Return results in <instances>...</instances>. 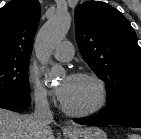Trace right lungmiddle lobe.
<instances>
[{
    "mask_svg": "<svg viewBox=\"0 0 141 139\" xmlns=\"http://www.w3.org/2000/svg\"><path fill=\"white\" fill-rule=\"evenodd\" d=\"M30 59H0V96L30 94Z\"/></svg>",
    "mask_w": 141,
    "mask_h": 139,
    "instance_id": "right-lung-middle-lobe-1",
    "label": "right lung middle lobe"
}]
</instances>
